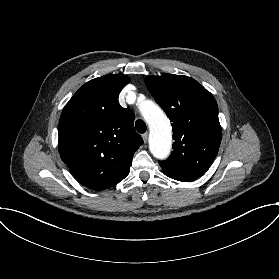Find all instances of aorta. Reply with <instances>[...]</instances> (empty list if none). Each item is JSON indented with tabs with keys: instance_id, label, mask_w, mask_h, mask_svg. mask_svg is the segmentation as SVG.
Returning <instances> with one entry per match:
<instances>
[{
	"instance_id": "1",
	"label": "aorta",
	"mask_w": 279,
	"mask_h": 279,
	"mask_svg": "<svg viewBox=\"0 0 279 279\" xmlns=\"http://www.w3.org/2000/svg\"><path fill=\"white\" fill-rule=\"evenodd\" d=\"M143 117L150 128L149 148L154 157L165 159L171 149V127L165 113L152 101L141 106Z\"/></svg>"
}]
</instances>
